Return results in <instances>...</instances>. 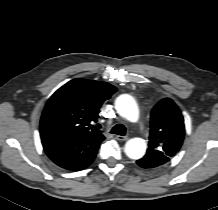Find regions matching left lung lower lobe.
<instances>
[{
  "label": "left lung lower lobe",
  "mask_w": 218,
  "mask_h": 210,
  "mask_svg": "<svg viewBox=\"0 0 218 210\" xmlns=\"http://www.w3.org/2000/svg\"><path fill=\"white\" fill-rule=\"evenodd\" d=\"M148 159L144 156L143 158L137 160V164L143 168H153L154 163L151 161H147Z\"/></svg>",
  "instance_id": "left-lung-lower-lobe-1"
}]
</instances>
